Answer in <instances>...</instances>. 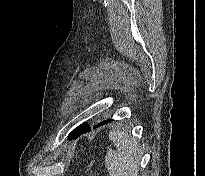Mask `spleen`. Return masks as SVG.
I'll list each match as a JSON object with an SVG mask.
<instances>
[{
    "label": "spleen",
    "instance_id": "3e777b00",
    "mask_svg": "<svg viewBox=\"0 0 205 176\" xmlns=\"http://www.w3.org/2000/svg\"><path fill=\"white\" fill-rule=\"evenodd\" d=\"M109 139L116 150L109 149L106 154V166L110 176H138L141 150L138 142L122 131H111Z\"/></svg>",
    "mask_w": 205,
    "mask_h": 176
}]
</instances>
